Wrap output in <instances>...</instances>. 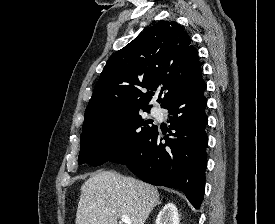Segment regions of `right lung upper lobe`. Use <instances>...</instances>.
I'll use <instances>...</instances> for the list:
<instances>
[{"label":"right lung upper lobe","mask_w":275,"mask_h":224,"mask_svg":"<svg viewBox=\"0 0 275 224\" xmlns=\"http://www.w3.org/2000/svg\"><path fill=\"white\" fill-rule=\"evenodd\" d=\"M189 35L174 21H159L107 61L85 111L83 129L124 113L151 108L153 91L161 107L201 73ZM147 89L149 92L144 93Z\"/></svg>","instance_id":"1"}]
</instances>
